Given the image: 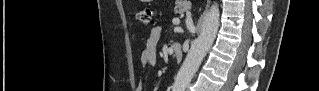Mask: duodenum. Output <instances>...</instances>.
<instances>
[{
	"instance_id": "obj_1",
	"label": "duodenum",
	"mask_w": 319,
	"mask_h": 91,
	"mask_svg": "<svg viewBox=\"0 0 319 91\" xmlns=\"http://www.w3.org/2000/svg\"><path fill=\"white\" fill-rule=\"evenodd\" d=\"M171 48H172V51H173L174 55L176 56L177 60H180L182 57V50H181L180 44L175 42L172 44Z\"/></svg>"
}]
</instances>
